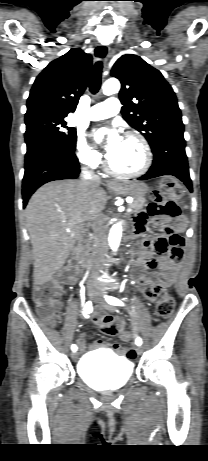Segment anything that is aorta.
<instances>
[{
    "mask_svg": "<svg viewBox=\"0 0 208 461\" xmlns=\"http://www.w3.org/2000/svg\"><path fill=\"white\" fill-rule=\"evenodd\" d=\"M120 90V82L117 79L111 78L105 81V83L102 86V91L103 94L105 95H114L118 93ZM121 236H122V225L121 223H116L114 224L109 232V246L110 248L116 252L118 250V247L120 245L121 241Z\"/></svg>",
    "mask_w": 208,
    "mask_h": 461,
    "instance_id": "762f6f07",
    "label": "aorta"
}]
</instances>
